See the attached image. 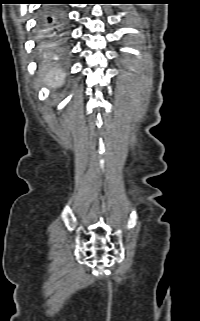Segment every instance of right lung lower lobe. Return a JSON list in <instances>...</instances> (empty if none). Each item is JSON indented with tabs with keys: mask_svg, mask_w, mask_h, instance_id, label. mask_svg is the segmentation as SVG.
Wrapping results in <instances>:
<instances>
[{
	"mask_svg": "<svg viewBox=\"0 0 200 321\" xmlns=\"http://www.w3.org/2000/svg\"><path fill=\"white\" fill-rule=\"evenodd\" d=\"M46 4H64L65 0H42ZM40 24L46 31L49 40L62 45L66 40V29L62 10L57 6H46L42 9Z\"/></svg>",
	"mask_w": 200,
	"mask_h": 321,
	"instance_id": "obj_1",
	"label": "right lung lower lobe"
}]
</instances>
